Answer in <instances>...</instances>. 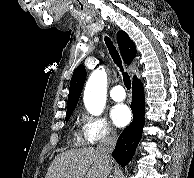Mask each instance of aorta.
<instances>
[{
	"instance_id": "obj_1",
	"label": "aorta",
	"mask_w": 194,
	"mask_h": 178,
	"mask_svg": "<svg viewBox=\"0 0 194 178\" xmlns=\"http://www.w3.org/2000/svg\"><path fill=\"white\" fill-rule=\"evenodd\" d=\"M107 74L98 68L90 75L84 90V104L87 111L93 115H100L106 103Z\"/></svg>"
}]
</instances>
